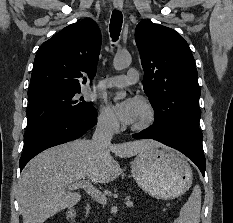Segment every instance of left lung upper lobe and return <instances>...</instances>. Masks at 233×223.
<instances>
[{
    "label": "left lung upper lobe",
    "mask_w": 233,
    "mask_h": 223,
    "mask_svg": "<svg viewBox=\"0 0 233 223\" xmlns=\"http://www.w3.org/2000/svg\"><path fill=\"white\" fill-rule=\"evenodd\" d=\"M143 85L154 109L155 126L199 127L200 87L192 52L175 30L141 21L135 31Z\"/></svg>",
    "instance_id": "obj_1"
}]
</instances>
